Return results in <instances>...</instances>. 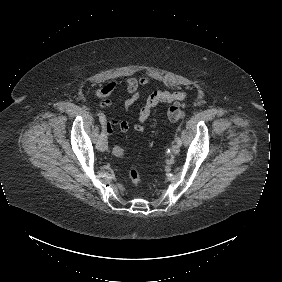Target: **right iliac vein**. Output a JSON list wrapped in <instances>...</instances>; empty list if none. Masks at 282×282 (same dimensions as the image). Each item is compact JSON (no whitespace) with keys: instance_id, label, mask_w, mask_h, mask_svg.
Here are the masks:
<instances>
[{"instance_id":"1","label":"right iliac vein","mask_w":282,"mask_h":282,"mask_svg":"<svg viewBox=\"0 0 282 282\" xmlns=\"http://www.w3.org/2000/svg\"><path fill=\"white\" fill-rule=\"evenodd\" d=\"M99 147L101 151H106L108 148V142H107V136L104 134V136H102L100 138V143H99Z\"/></svg>"}]
</instances>
